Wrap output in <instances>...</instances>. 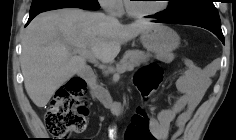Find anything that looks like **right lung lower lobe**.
Segmentation results:
<instances>
[{
    "label": "right lung lower lobe",
    "instance_id": "obj_1",
    "mask_svg": "<svg viewBox=\"0 0 236 140\" xmlns=\"http://www.w3.org/2000/svg\"><path fill=\"white\" fill-rule=\"evenodd\" d=\"M39 13H41V12H37V13L30 14L27 24H29V22H30L35 16H37ZM27 24H26V25H27Z\"/></svg>",
    "mask_w": 236,
    "mask_h": 140
}]
</instances>
